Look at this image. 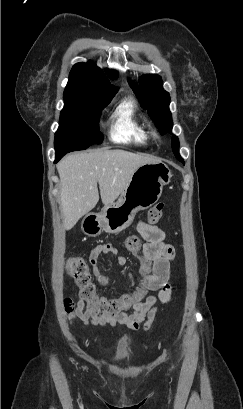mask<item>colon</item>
I'll use <instances>...</instances> for the list:
<instances>
[{"label": "colon", "mask_w": 243, "mask_h": 409, "mask_svg": "<svg viewBox=\"0 0 243 409\" xmlns=\"http://www.w3.org/2000/svg\"><path fill=\"white\" fill-rule=\"evenodd\" d=\"M164 209L163 203L153 205L148 211V224H156L162 217ZM126 248L132 254H139L141 250L140 238L133 234L126 240ZM66 271L68 275L75 279L80 287L81 297L87 301L89 308L103 312L117 314L129 308L130 304L140 303L146 296V291L138 288L129 296L109 299L96 294L95 285L91 280L90 269L87 263L81 258H68L66 261ZM65 309L70 316L75 313V305L71 299H66ZM77 315H79L77 313Z\"/></svg>", "instance_id": "5ec220e1"}]
</instances>
